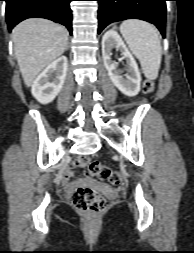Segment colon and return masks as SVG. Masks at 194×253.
Masks as SVG:
<instances>
[{"label": "colon", "instance_id": "colon-1", "mask_svg": "<svg viewBox=\"0 0 194 253\" xmlns=\"http://www.w3.org/2000/svg\"><path fill=\"white\" fill-rule=\"evenodd\" d=\"M154 90V85L151 81L145 80L143 82L144 93H151ZM75 164L79 167H88L87 175L96 177L101 180H107L112 185H118L122 180L120 172L110 169L108 166L99 162H89V160L80 156L76 159ZM73 206L83 212L100 213L106 207V200L98 192L91 188H78L72 197Z\"/></svg>", "mask_w": 194, "mask_h": 253}]
</instances>
